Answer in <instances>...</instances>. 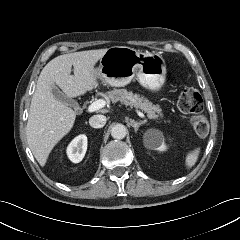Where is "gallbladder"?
<instances>
[{
  "label": "gallbladder",
  "instance_id": "obj_1",
  "mask_svg": "<svg viewBox=\"0 0 240 240\" xmlns=\"http://www.w3.org/2000/svg\"><path fill=\"white\" fill-rule=\"evenodd\" d=\"M52 94L54 95V97L59 100L60 102H62L63 104L73 107V108H77L78 107V103L73 100L72 98L67 97L59 88H57L56 86H54L52 88Z\"/></svg>",
  "mask_w": 240,
  "mask_h": 240
}]
</instances>
